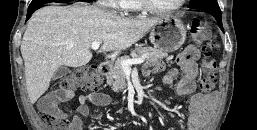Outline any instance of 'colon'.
<instances>
[{"instance_id": "colon-1", "label": "colon", "mask_w": 257, "mask_h": 130, "mask_svg": "<svg viewBox=\"0 0 257 130\" xmlns=\"http://www.w3.org/2000/svg\"><path fill=\"white\" fill-rule=\"evenodd\" d=\"M191 34L194 41L204 45V55L201 59L202 77L200 90L204 94L212 92L216 86V62L214 52L217 44L211 41V30L199 19H195L191 25ZM102 84V76L94 66L77 70L72 76L64 78L59 85L58 95L62 99L72 96L76 88L94 92ZM39 120L46 130H70L68 118L61 112L43 108L39 112Z\"/></svg>"}]
</instances>
